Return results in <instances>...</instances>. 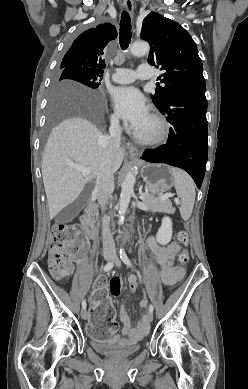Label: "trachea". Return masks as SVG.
<instances>
[{"instance_id": "3493384b", "label": "trachea", "mask_w": 248, "mask_h": 389, "mask_svg": "<svg viewBox=\"0 0 248 389\" xmlns=\"http://www.w3.org/2000/svg\"><path fill=\"white\" fill-rule=\"evenodd\" d=\"M119 43L121 49L126 50L131 42V19L127 11L121 14Z\"/></svg>"}]
</instances>
